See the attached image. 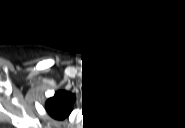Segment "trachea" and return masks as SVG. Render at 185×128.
Returning <instances> with one entry per match:
<instances>
[{"instance_id": "obj_1", "label": "trachea", "mask_w": 185, "mask_h": 128, "mask_svg": "<svg viewBox=\"0 0 185 128\" xmlns=\"http://www.w3.org/2000/svg\"><path fill=\"white\" fill-rule=\"evenodd\" d=\"M83 89L85 91H90L94 88V84L91 80H86L83 85H82Z\"/></svg>"}]
</instances>
